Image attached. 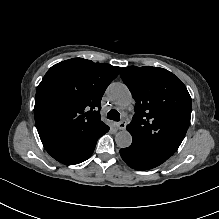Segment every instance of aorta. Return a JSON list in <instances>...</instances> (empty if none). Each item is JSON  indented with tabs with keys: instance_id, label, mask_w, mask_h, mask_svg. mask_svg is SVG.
Here are the masks:
<instances>
[{
	"instance_id": "aorta-1",
	"label": "aorta",
	"mask_w": 219,
	"mask_h": 219,
	"mask_svg": "<svg viewBox=\"0 0 219 219\" xmlns=\"http://www.w3.org/2000/svg\"><path fill=\"white\" fill-rule=\"evenodd\" d=\"M109 98L120 107H127L132 102V95L124 83H111L107 89ZM115 142L120 148H127L132 144V136L127 130L119 131Z\"/></svg>"
}]
</instances>
